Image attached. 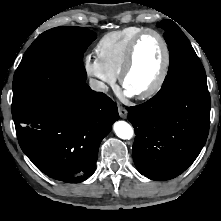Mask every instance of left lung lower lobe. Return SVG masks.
Returning a JSON list of instances; mask_svg holds the SVG:
<instances>
[{"label": "left lung lower lobe", "mask_w": 221, "mask_h": 221, "mask_svg": "<svg viewBox=\"0 0 221 221\" xmlns=\"http://www.w3.org/2000/svg\"><path fill=\"white\" fill-rule=\"evenodd\" d=\"M210 95L206 86L173 82L147 102L128 109L135 129L133 159L152 180L183 173L201 152L209 132Z\"/></svg>", "instance_id": "obj_1"}]
</instances>
